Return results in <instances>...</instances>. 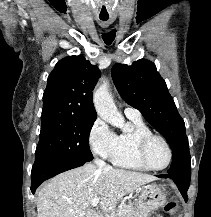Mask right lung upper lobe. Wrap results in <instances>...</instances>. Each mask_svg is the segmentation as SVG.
<instances>
[{
  "label": "right lung upper lobe",
  "instance_id": "right-lung-upper-lobe-1",
  "mask_svg": "<svg viewBox=\"0 0 211 217\" xmlns=\"http://www.w3.org/2000/svg\"><path fill=\"white\" fill-rule=\"evenodd\" d=\"M100 74L98 67L82 55L58 61L43 94L42 119L53 116L96 119L92 91Z\"/></svg>",
  "mask_w": 211,
  "mask_h": 217
}]
</instances>
